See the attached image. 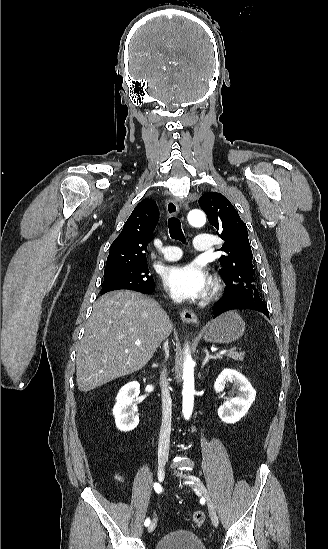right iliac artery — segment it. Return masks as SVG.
I'll use <instances>...</instances> for the list:
<instances>
[{
    "mask_svg": "<svg viewBox=\"0 0 328 549\" xmlns=\"http://www.w3.org/2000/svg\"><path fill=\"white\" fill-rule=\"evenodd\" d=\"M154 490H155L157 493H160V492L162 491L161 485H160L159 483H155V484H154ZM149 524H150V519L147 518V519L145 520V522H144V525H145V526H149Z\"/></svg>",
    "mask_w": 328,
    "mask_h": 549,
    "instance_id": "1",
    "label": "right iliac artery"
}]
</instances>
